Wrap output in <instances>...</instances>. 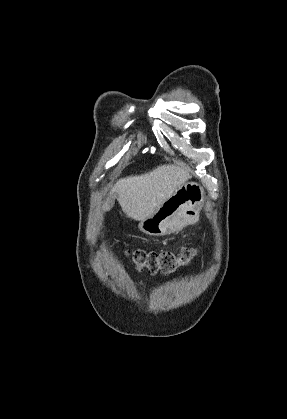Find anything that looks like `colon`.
I'll use <instances>...</instances> for the list:
<instances>
[{"mask_svg": "<svg viewBox=\"0 0 287 419\" xmlns=\"http://www.w3.org/2000/svg\"><path fill=\"white\" fill-rule=\"evenodd\" d=\"M194 255V250L184 248L178 253L170 251H146L136 249L132 251V258L139 269H148L152 274H170L178 267L186 264Z\"/></svg>", "mask_w": 287, "mask_h": 419, "instance_id": "obj_1", "label": "colon"}]
</instances>
